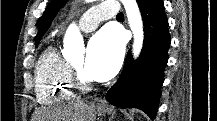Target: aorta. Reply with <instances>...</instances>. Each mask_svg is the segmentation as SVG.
Returning <instances> with one entry per match:
<instances>
[{
	"label": "aorta",
	"mask_w": 217,
	"mask_h": 121,
	"mask_svg": "<svg viewBox=\"0 0 217 121\" xmlns=\"http://www.w3.org/2000/svg\"><path fill=\"white\" fill-rule=\"evenodd\" d=\"M92 0H87L90 2ZM127 15L130 29L133 33V55L137 58L143 47V22L136 0H121ZM63 54L65 58L82 57L84 54L83 37L75 24H71L64 36Z\"/></svg>",
	"instance_id": "1"
}]
</instances>
